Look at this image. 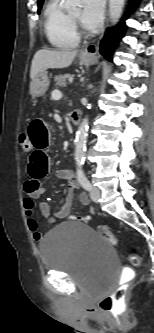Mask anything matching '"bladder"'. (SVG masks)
<instances>
[{
    "instance_id": "1",
    "label": "bladder",
    "mask_w": 154,
    "mask_h": 333,
    "mask_svg": "<svg viewBox=\"0 0 154 333\" xmlns=\"http://www.w3.org/2000/svg\"><path fill=\"white\" fill-rule=\"evenodd\" d=\"M44 268L67 275L84 287L111 288L116 275L117 255L97 231L80 221L52 228L39 244Z\"/></svg>"
}]
</instances>
